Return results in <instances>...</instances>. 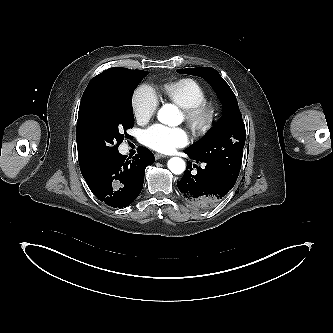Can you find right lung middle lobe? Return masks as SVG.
<instances>
[{
  "label": "right lung middle lobe",
  "instance_id": "1",
  "mask_svg": "<svg viewBox=\"0 0 333 333\" xmlns=\"http://www.w3.org/2000/svg\"><path fill=\"white\" fill-rule=\"evenodd\" d=\"M147 75L142 70L122 72L92 92L85 115L76 128L78 148L91 163L101 165L118 153V146L128 136L126 130L134 125V90Z\"/></svg>",
  "mask_w": 333,
  "mask_h": 333
}]
</instances>
